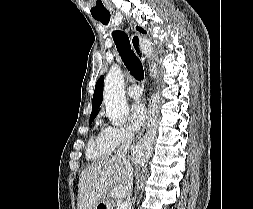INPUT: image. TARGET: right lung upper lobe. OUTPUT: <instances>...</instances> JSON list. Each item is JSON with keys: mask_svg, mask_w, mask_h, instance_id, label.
Segmentation results:
<instances>
[{"mask_svg": "<svg viewBox=\"0 0 253 209\" xmlns=\"http://www.w3.org/2000/svg\"><path fill=\"white\" fill-rule=\"evenodd\" d=\"M136 29L141 33H146L142 28L136 27ZM103 82H104V76H101L95 86V91L93 95L92 100V112L90 115V119L95 118L98 114V109L102 103L103 100Z\"/></svg>", "mask_w": 253, "mask_h": 209, "instance_id": "cb5924a9", "label": "right lung upper lobe"}]
</instances>
